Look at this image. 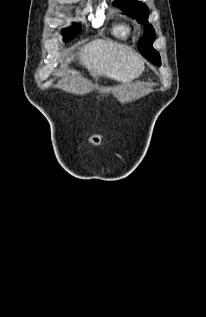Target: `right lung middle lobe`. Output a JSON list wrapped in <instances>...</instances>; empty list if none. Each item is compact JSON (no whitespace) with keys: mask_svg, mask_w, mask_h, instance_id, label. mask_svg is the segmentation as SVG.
I'll return each mask as SVG.
<instances>
[{"mask_svg":"<svg viewBox=\"0 0 206 317\" xmlns=\"http://www.w3.org/2000/svg\"><path fill=\"white\" fill-rule=\"evenodd\" d=\"M81 30V25L76 24L73 29H66L64 31V41H69L75 37V35Z\"/></svg>","mask_w":206,"mask_h":317,"instance_id":"1","label":"right lung middle lobe"}]
</instances>
